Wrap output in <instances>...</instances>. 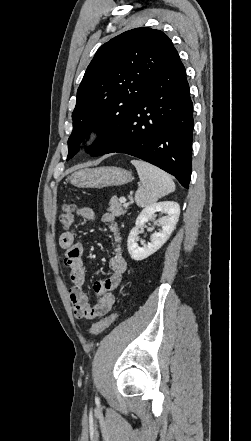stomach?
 I'll return each instance as SVG.
<instances>
[{"mask_svg":"<svg viewBox=\"0 0 251 441\" xmlns=\"http://www.w3.org/2000/svg\"><path fill=\"white\" fill-rule=\"evenodd\" d=\"M132 179L130 171L114 166L84 168L75 171L69 178L70 183L78 188H104L120 186Z\"/></svg>","mask_w":251,"mask_h":441,"instance_id":"stomach-1","label":"stomach"}]
</instances>
